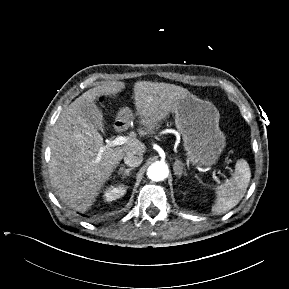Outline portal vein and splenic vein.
Segmentation results:
<instances>
[{"label":"portal vein and splenic vein","instance_id":"18ae733b","mask_svg":"<svg viewBox=\"0 0 289 289\" xmlns=\"http://www.w3.org/2000/svg\"><path fill=\"white\" fill-rule=\"evenodd\" d=\"M129 140V137L126 136H117L114 140L110 141L106 147H115L118 145H123L125 143H127ZM97 160H100V155H98ZM215 181L220 183L219 178L215 177Z\"/></svg>","mask_w":289,"mask_h":289}]
</instances>
